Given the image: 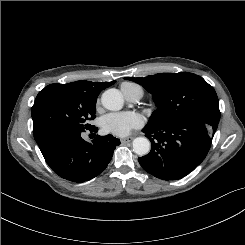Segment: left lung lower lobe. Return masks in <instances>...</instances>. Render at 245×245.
I'll use <instances>...</instances> for the list:
<instances>
[{"label":"left lung lower lobe","mask_w":245,"mask_h":245,"mask_svg":"<svg viewBox=\"0 0 245 245\" xmlns=\"http://www.w3.org/2000/svg\"><path fill=\"white\" fill-rule=\"evenodd\" d=\"M218 123L205 117H189L161 127L145 126L142 131L152 148L138 158L140 165L162 180L183 178L205 159Z\"/></svg>","instance_id":"0a47b994"}]
</instances>
